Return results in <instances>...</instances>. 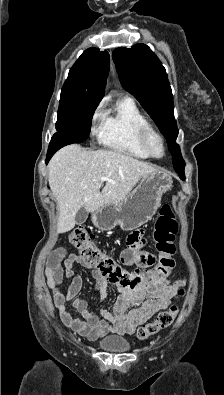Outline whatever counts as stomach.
<instances>
[{"label":"stomach","instance_id":"stomach-1","mask_svg":"<svg viewBox=\"0 0 224 395\" xmlns=\"http://www.w3.org/2000/svg\"><path fill=\"white\" fill-rule=\"evenodd\" d=\"M172 186V177L167 172L156 170L145 174L123 200L102 206L93 212L91 220L101 230H111L119 225L124 231H132L154 216L163 194Z\"/></svg>","mask_w":224,"mask_h":395}]
</instances>
